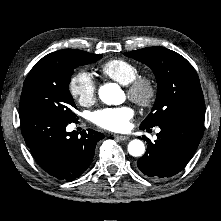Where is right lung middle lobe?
I'll return each mask as SVG.
<instances>
[{
    "instance_id": "1",
    "label": "right lung middle lobe",
    "mask_w": 221,
    "mask_h": 221,
    "mask_svg": "<svg viewBox=\"0 0 221 221\" xmlns=\"http://www.w3.org/2000/svg\"><path fill=\"white\" fill-rule=\"evenodd\" d=\"M102 55L76 50L62 58L39 60L26 77L20 98V113L40 111L75 122L76 107L69 92L74 68L95 62Z\"/></svg>"
}]
</instances>
